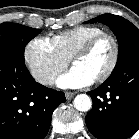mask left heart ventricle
Segmentation results:
<instances>
[{
  "label": "left heart ventricle",
  "mask_w": 139,
  "mask_h": 139,
  "mask_svg": "<svg viewBox=\"0 0 139 139\" xmlns=\"http://www.w3.org/2000/svg\"><path fill=\"white\" fill-rule=\"evenodd\" d=\"M113 47L108 39H102L89 53L77 58L74 66L97 79L109 65Z\"/></svg>",
  "instance_id": "1"
}]
</instances>
